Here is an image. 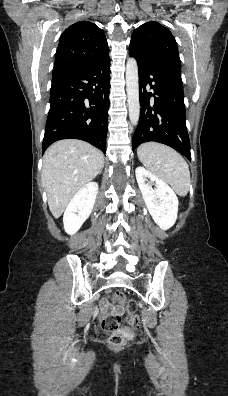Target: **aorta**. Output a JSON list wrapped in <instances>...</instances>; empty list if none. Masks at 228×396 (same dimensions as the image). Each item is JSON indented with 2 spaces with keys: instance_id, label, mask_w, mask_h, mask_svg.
I'll list each match as a JSON object with an SVG mask.
<instances>
[{
  "instance_id": "aorta-1",
  "label": "aorta",
  "mask_w": 228,
  "mask_h": 396,
  "mask_svg": "<svg viewBox=\"0 0 228 396\" xmlns=\"http://www.w3.org/2000/svg\"><path fill=\"white\" fill-rule=\"evenodd\" d=\"M126 91L128 97L129 119L132 125L136 126L139 122L140 103L138 66L134 58H129L126 64Z\"/></svg>"
}]
</instances>
